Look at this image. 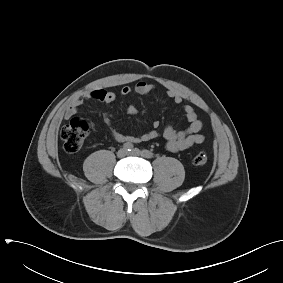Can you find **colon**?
<instances>
[{
    "label": "colon",
    "instance_id": "5ec220e1",
    "mask_svg": "<svg viewBox=\"0 0 283 283\" xmlns=\"http://www.w3.org/2000/svg\"><path fill=\"white\" fill-rule=\"evenodd\" d=\"M88 129V124L84 120L80 118L70 120L60 133L65 150L68 152L78 151L88 134ZM207 161L208 157L204 152L197 153L193 158V163L196 166H203Z\"/></svg>",
    "mask_w": 283,
    "mask_h": 283
}]
</instances>
